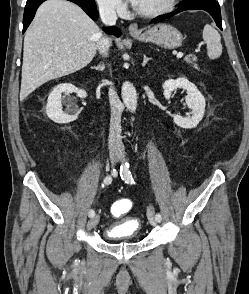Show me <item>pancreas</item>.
Masks as SVG:
<instances>
[{
	"mask_svg": "<svg viewBox=\"0 0 249 294\" xmlns=\"http://www.w3.org/2000/svg\"><path fill=\"white\" fill-rule=\"evenodd\" d=\"M188 63H191L192 61H196V57H192V59L190 58H186L185 59ZM195 69H199L197 64L194 63V66H193Z\"/></svg>",
	"mask_w": 249,
	"mask_h": 294,
	"instance_id": "cf45deb5",
	"label": "pancreas"
}]
</instances>
